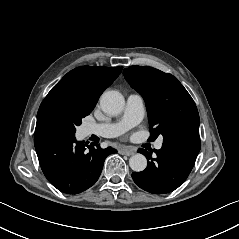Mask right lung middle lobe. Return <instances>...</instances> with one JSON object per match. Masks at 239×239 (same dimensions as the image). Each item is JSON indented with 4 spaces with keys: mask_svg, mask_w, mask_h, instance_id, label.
I'll return each mask as SVG.
<instances>
[{
    "mask_svg": "<svg viewBox=\"0 0 239 239\" xmlns=\"http://www.w3.org/2000/svg\"><path fill=\"white\" fill-rule=\"evenodd\" d=\"M93 106L77 100L64 91L49 92L37 113L36 128L57 126L76 132L82 118L89 115Z\"/></svg>",
    "mask_w": 239,
    "mask_h": 239,
    "instance_id": "1",
    "label": "right lung middle lobe"
}]
</instances>
